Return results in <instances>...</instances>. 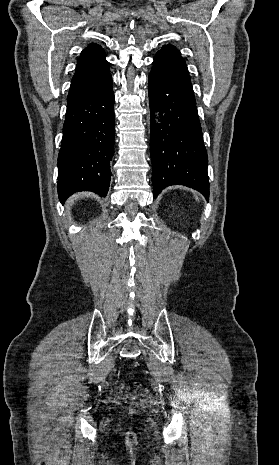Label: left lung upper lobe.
<instances>
[{
    "label": "left lung upper lobe",
    "mask_w": 279,
    "mask_h": 465,
    "mask_svg": "<svg viewBox=\"0 0 279 465\" xmlns=\"http://www.w3.org/2000/svg\"><path fill=\"white\" fill-rule=\"evenodd\" d=\"M157 54L174 55L182 59L180 52L172 45H165L157 52Z\"/></svg>",
    "instance_id": "1"
}]
</instances>
